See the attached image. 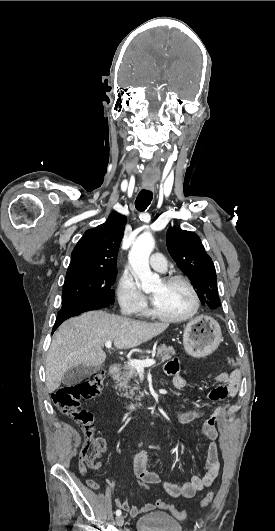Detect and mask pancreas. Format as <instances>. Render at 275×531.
I'll return each instance as SVG.
<instances>
[{"instance_id": "obj_1", "label": "pancreas", "mask_w": 275, "mask_h": 531, "mask_svg": "<svg viewBox=\"0 0 275 531\" xmlns=\"http://www.w3.org/2000/svg\"><path fill=\"white\" fill-rule=\"evenodd\" d=\"M156 351V357H161L162 363L169 361V359H172V355H175L173 347H167V345H160ZM145 359H149V357H140L139 361H145ZM137 377L138 373L132 365H121L119 367L112 379L116 383V389L122 391L120 393L121 397H126V399H131V401H139L141 399L142 393L139 391ZM136 393H140V395H136Z\"/></svg>"}]
</instances>
